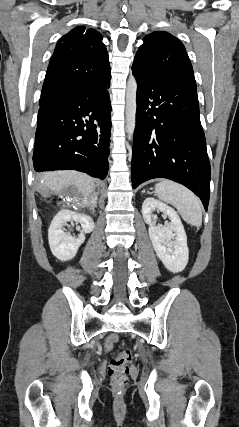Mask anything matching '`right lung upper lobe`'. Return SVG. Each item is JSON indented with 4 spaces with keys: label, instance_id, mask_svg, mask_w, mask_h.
<instances>
[{
    "label": "right lung upper lobe",
    "instance_id": "obj_1",
    "mask_svg": "<svg viewBox=\"0 0 239 427\" xmlns=\"http://www.w3.org/2000/svg\"><path fill=\"white\" fill-rule=\"evenodd\" d=\"M110 74L101 34L76 27L59 39L49 63L41 96L71 83H93Z\"/></svg>",
    "mask_w": 239,
    "mask_h": 427
}]
</instances>
